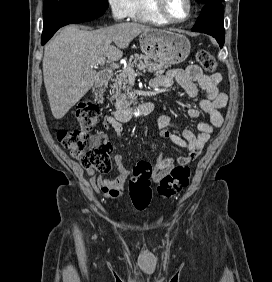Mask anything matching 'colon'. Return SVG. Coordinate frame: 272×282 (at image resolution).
<instances>
[{"label": "colon", "mask_w": 272, "mask_h": 282, "mask_svg": "<svg viewBox=\"0 0 272 282\" xmlns=\"http://www.w3.org/2000/svg\"><path fill=\"white\" fill-rule=\"evenodd\" d=\"M197 62L206 71L213 73L216 69L214 57L205 50L196 54ZM75 117L78 126L75 128H62L57 132V140L79 161L82 167L94 169L106 174L111 169L109 154L111 144L106 136H93L91 130L98 122V106L90 101L80 102L75 106ZM149 167L145 163L132 169L129 179V194L134 207L138 210L146 209L152 200V190L147 181ZM190 169L177 166L164 175L157 188L158 197L170 199L177 196L189 184Z\"/></svg>", "instance_id": "colon-1"}]
</instances>
